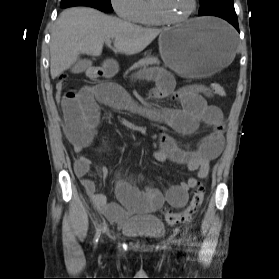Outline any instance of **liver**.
I'll use <instances>...</instances> for the list:
<instances>
[{
  "label": "liver",
  "instance_id": "6515ba94",
  "mask_svg": "<svg viewBox=\"0 0 279 279\" xmlns=\"http://www.w3.org/2000/svg\"><path fill=\"white\" fill-rule=\"evenodd\" d=\"M161 29L144 28L88 7L63 11L51 33L50 73L52 79L69 69L80 54L99 56L103 44L114 41V50L125 55L143 51Z\"/></svg>",
  "mask_w": 279,
  "mask_h": 279
}]
</instances>
